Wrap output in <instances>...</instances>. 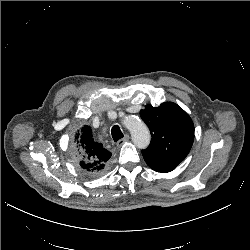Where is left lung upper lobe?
Here are the masks:
<instances>
[{"mask_svg":"<svg viewBox=\"0 0 250 250\" xmlns=\"http://www.w3.org/2000/svg\"><path fill=\"white\" fill-rule=\"evenodd\" d=\"M140 116L151 132V143L142 150L147 165L162 173L174 170L188 155L194 140L190 116L177 104L146 105Z\"/></svg>","mask_w":250,"mask_h":250,"instance_id":"left-lung-upper-lobe-1","label":"left lung upper lobe"}]
</instances>
